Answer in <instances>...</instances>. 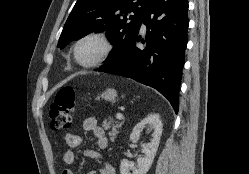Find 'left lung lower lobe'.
<instances>
[{
    "label": "left lung lower lobe",
    "mask_w": 249,
    "mask_h": 174,
    "mask_svg": "<svg viewBox=\"0 0 249 174\" xmlns=\"http://www.w3.org/2000/svg\"><path fill=\"white\" fill-rule=\"evenodd\" d=\"M187 0H151L142 19L147 27L143 48L136 43L124 49L120 59L96 71L120 75L153 87L178 112V95L189 26Z\"/></svg>",
    "instance_id": "left-lung-lower-lobe-1"
}]
</instances>
